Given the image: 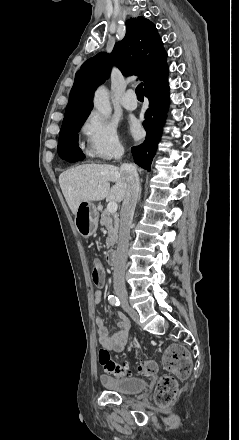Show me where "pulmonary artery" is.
Instances as JSON below:
<instances>
[{
	"label": "pulmonary artery",
	"instance_id": "pulmonary-artery-1",
	"mask_svg": "<svg viewBox=\"0 0 239 440\" xmlns=\"http://www.w3.org/2000/svg\"><path fill=\"white\" fill-rule=\"evenodd\" d=\"M134 90L130 89L125 92L123 97L121 98V105L127 110H135L137 108V103H132L127 100L128 97L134 96Z\"/></svg>",
	"mask_w": 239,
	"mask_h": 440
}]
</instances>
